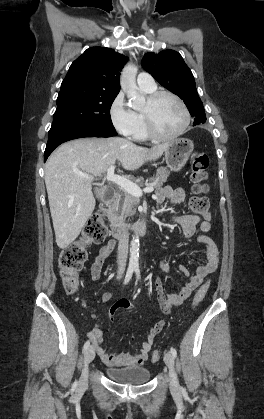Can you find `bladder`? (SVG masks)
Returning a JSON list of instances; mask_svg holds the SVG:
<instances>
[{"instance_id":"31cf9c89","label":"bladder","mask_w":264,"mask_h":419,"mask_svg":"<svg viewBox=\"0 0 264 419\" xmlns=\"http://www.w3.org/2000/svg\"><path fill=\"white\" fill-rule=\"evenodd\" d=\"M108 378L119 384L140 385L149 381L150 371L142 366H129L124 368L109 367L105 369Z\"/></svg>"}]
</instances>
